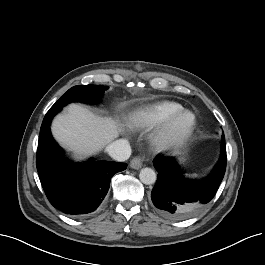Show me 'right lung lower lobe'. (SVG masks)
Segmentation results:
<instances>
[{
    "label": "right lung lower lobe",
    "instance_id": "98d812e1",
    "mask_svg": "<svg viewBox=\"0 0 265 265\" xmlns=\"http://www.w3.org/2000/svg\"><path fill=\"white\" fill-rule=\"evenodd\" d=\"M59 111L61 108H50L44 117L36 166L50 203L67 215L83 217L97 209L109 190L111 178L127 164L93 159L75 164L64 159L50 132L51 120Z\"/></svg>",
    "mask_w": 265,
    "mask_h": 265
}]
</instances>
